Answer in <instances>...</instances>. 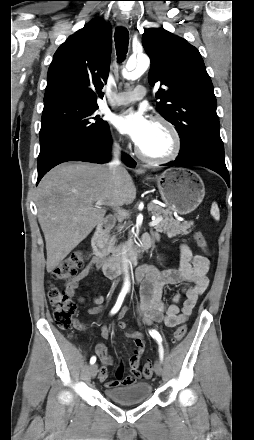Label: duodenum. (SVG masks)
Here are the masks:
<instances>
[{
    "label": "duodenum",
    "instance_id": "obj_1",
    "mask_svg": "<svg viewBox=\"0 0 254 440\" xmlns=\"http://www.w3.org/2000/svg\"><path fill=\"white\" fill-rule=\"evenodd\" d=\"M116 218L113 215L107 216L101 221L91 239V246L95 256L100 260L102 270L106 277L115 278L126 268L136 264L142 252L149 248L153 243L150 237L140 239L137 245L130 250L124 259L111 258L109 249L105 243V235L113 228ZM150 236V235H144Z\"/></svg>",
    "mask_w": 254,
    "mask_h": 440
}]
</instances>
